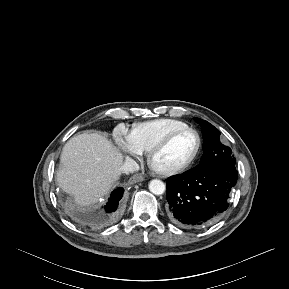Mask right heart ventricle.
Listing matches in <instances>:
<instances>
[{"instance_id": "1", "label": "right heart ventricle", "mask_w": 289, "mask_h": 289, "mask_svg": "<svg viewBox=\"0 0 289 289\" xmlns=\"http://www.w3.org/2000/svg\"><path fill=\"white\" fill-rule=\"evenodd\" d=\"M184 127H188V125L180 120L155 119L135 125L129 137L135 148L140 153H144L148 152L154 144L169 132Z\"/></svg>"}]
</instances>
